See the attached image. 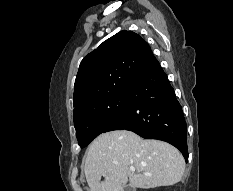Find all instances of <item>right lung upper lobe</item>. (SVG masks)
I'll return each instance as SVG.
<instances>
[{"label": "right lung upper lobe", "instance_id": "right-lung-upper-lobe-1", "mask_svg": "<svg viewBox=\"0 0 233 191\" xmlns=\"http://www.w3.org/2000/svg\"><path fill=\"white\" fill-rule=\"evenodd\" d=\"M152 56L147 42L134 32L123 30L104 41L80 64L74 85V115L128 93Z\"/></svg>", "mask_w": 233, "mask_h": 191}]
</instances>
